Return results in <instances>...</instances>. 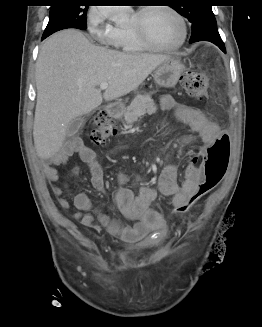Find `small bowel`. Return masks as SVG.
<instances>
[{"mask_svg": "<svg viewBox=\"0 0 262 327\" xmlns=\"http://www.w3.org/2000/svg\"><path fill=\"white\" fill-rule=\"evenodd\" d=\"M160 106L163 110L174 111L179 121L197 133L203 142L200 153H186L188 167L184 173V181L179 183L176 165H167L159 175L157 188L143 187L138 194H134L130 189L123 186L128 181L127 175L119 172L117 180L120 187L112 198V207L118 210L124 218L133 221L134 224L124 226L118 219L103 212L96 213V222L89 195L80 192L74 198V206L78 210L75 217L83 225L94 229L102 225L121 239L134 242L141 239L147 232L158 231L164 227V220L154 206L158 193L169 198L173 213H178V206H187L188 194L193 193L198 183L202 182L203 179L201 160L204 159V156H207L211 144L218 142V135L224 134L220 127L207 119L200 110L180 103L170 95L161 97ZM73 153H77L81 160L87 164L93 188L96 190L104 189V171L96 158L95 152L79 137L71 138L51 159V162L46 165L44 170L47 181L52 185L54 194L59 197V203L65 209L70 208V203L60 197L62 190L55 185L59 178L56 167L65 165Z\"/></svg>", "mask_w": 262, "mask_h": 327, "instance_id": "obj_1", "label": "small bowel"}]
</instances>
